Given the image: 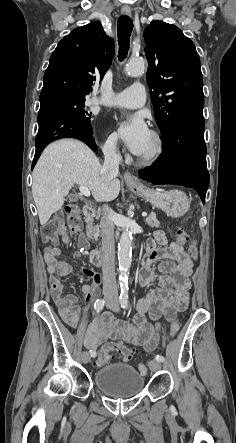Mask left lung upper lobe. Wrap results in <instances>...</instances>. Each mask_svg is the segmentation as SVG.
<instances>
[{
    "instance_id": "1",
    "label": "left lung upper lobe",
    "mask_w": 236,
    "mask_h": 443,
    "mask_svg": "<svg viewBox=\"0 0 236 443\" xmlns=\"http://www.w3.org/2000/svg\"><path fill=\"white\" fill-rule=\"evenodd\" d=\"M147 83L163 135L177 118L203 114V77L194 43L175 25L155 20L145 28Z\"/></svg>"
}]
</instances>
